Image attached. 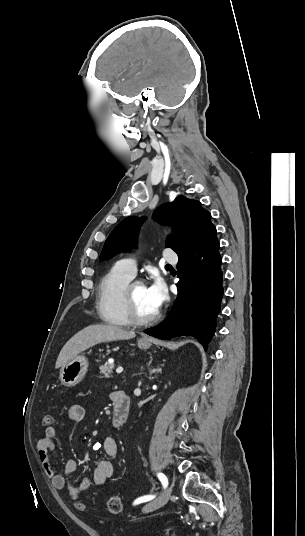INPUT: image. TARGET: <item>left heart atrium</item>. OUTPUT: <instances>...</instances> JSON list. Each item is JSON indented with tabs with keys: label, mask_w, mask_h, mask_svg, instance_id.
Segmentation results:
<instances>
[{
	"label": "left heart atrium",
	"mask_w": 305,
	"mask_h": 536,
	"mask_svg": "<svg viewBox=\"0 0 305 536\" xmlns=\"http://www.w3.org/2000/svg\"><path fill=\"white\" fill-rule=\"evenodd\" d=\"M147 298L151 308L157 310L164 299V288L162 282L158 278H154L153 281L146 286Z\"/></svg>",
	"instance_id": "left-heart-atrium-1"
}]
</instances>
